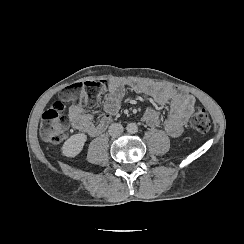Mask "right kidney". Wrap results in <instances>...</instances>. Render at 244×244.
Listing matches in <instances>:
<instances>
[{
    "label": "right kidney",
    "instance_id": "obj_1",
    "mask_svg": "<svg viewBox=\"0 0 244 244\" xmlns=\"http://www.w3.org/2000/svg\"><path fill=\"white\" fill-rule=\"evenodd\" d=\"M86 140L87 136L84 133L72 135L62 146L63 155L67 157H75L82 151Z\"/></svg>",
    "mask_w": 244,
    "mask_h": 244
}]
</instances>
